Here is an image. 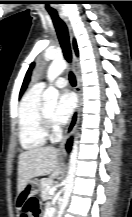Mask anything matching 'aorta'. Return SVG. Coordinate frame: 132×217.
Segmentation results:
<instances>
[{"mask_svg": "<svg viewBox=\"0 0 132 217\" xmlns=\"http://www.w3.org/2000/svg\"><path fill=\"white\" fill-rule=\"evenodd\" d=\"M66 68H67V63L64 60H54L50 64L47 71V79L50 82V85L43 93V100L45 104L54 106L57 103L58 90L52 85V83ZM77 157H78V141L75 140L73 144L72 152L70 154L69 172H68L69 181H73L75 177ZM67 200H68L67 197L63 199L58 217L62 215L63 210L67 204Z\"/></svg>", "mask_w": 132, "mask_h": 217, "instance_id": "762f6f07", "label": "aorta"}]
</instances>
